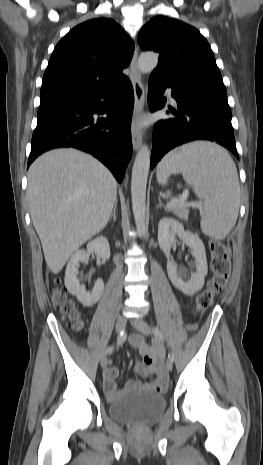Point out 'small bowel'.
<instances>
[{
  "label": "small bowel",
  "instance_id": "obj_1",
  "mask_svg": "<svg viewBox=\"0 0 263 465\" xmlns=\"http://www.w3.org/2000/svg\"><path fill=\"white\" fill-rule=\"evenodd\" d=\"M200 322H193V325H186V330H199ZM130 346L142 356V360L136 362V372L142 377H153L150 381L145 384L140 383L136 380H130L126 383L125 389L145 387L154 391H163L168 382V377L161 365V359L163 355L162 348L154 344L152 346L147 345L143 338L138 335H133L129 340ZM119 375L117 367L109 365L103 374L104 389L110 398H115L120 394V390L117 388L116 378Z\"/></svg>",
  "mask_w": 263,
  "mask_h": 465
}]
</instances>
